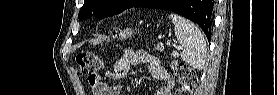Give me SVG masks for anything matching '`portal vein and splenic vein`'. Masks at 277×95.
<instances>
[{"mask_svg":"<svg viewBox=\"0 0 277 95\" xmlns=\"http://www.w3.org/2000/svg\"><path fill=\"white\" fill-rule=\"evenodd\" d=\"M168 44V43H167ZM174 47L176 48V49H180L181 47L180 46H177V45H174Z\"/></svg>","mask_w":277,"mask_h":95,"instance_id":"1","label":"portal vein and splenic vein"}]
</instances>
